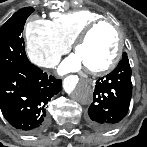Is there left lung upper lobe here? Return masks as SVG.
Segmentation results:
<instances>
[{"label": "left lung upper lobe", "instance_id": "5c2ea615", "mask_svg": "<svg viewBox=\"0 0 147 147\" xmlns=\"http://www.w3.org/2000/svg\"><path fill=\"white\" fill-rule=\"evenodd\" d=\"M124 57H127V54L126 53H123L122 58H124Z\"/></svg>", "mask_w": 147, "mask_h": 147}]
</instances>
